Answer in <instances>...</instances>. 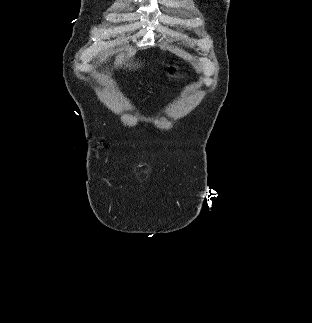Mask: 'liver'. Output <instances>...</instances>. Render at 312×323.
Segmentation results:
<instances>
[{"label":"liver","mask_w":312,"mask_h":323,"mask_svg":"<svg viewBox=\"0 0 312 323\" xmlns=\"http://www.w3.org/2000/svg\"><path fill=\"white\" fill-rule=\"evenodd\" d=\"M123 58H124V54H121V56H118L117 62H119V64H123ZM135 66H137V64H135Z\"/></svg>","instance_id":"1"}]
</instances>
